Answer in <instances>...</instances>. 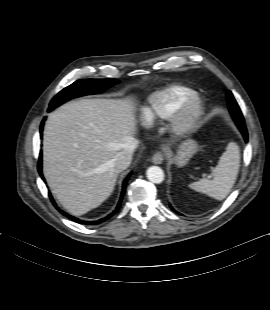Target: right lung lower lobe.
Wrapping results in <instances>:
<instances>
[{"instance_id": "1", "label": "right lung lower lobe", "mask_w": 270, "mask_h": 310, "mask_svg": "<svg viewBox=\"0 0 270 310\" xmlns=\"http://www.w3.org/2000/svg\"><path fill=\"white\" fill-rule=\"evenodd\" d=\"M44 120H45V118H44ZM44 120L42 121L41 127H40V133H41V135H42L43 125H44ZM41 164H42V161H41V157H40V158H39L38 170H39L40 175L42 176ZM42 178H43V177H42ZM128 179H129V176H128V177L124 180V182H123V188H122L121 198H120V201H119V203H118L116 209H115L111 214H109L108 216H106V217H104V218H102V219H99V220H97V221H92V222L85 221L86 224H88V225L100 224V223H102V222L108 220V219H109L110 217H112L115 213H117V211H118V209L120 208V205H121V200H122V197H123V195H124V192H125V188H126V184H127ZM50 199H51L52 203L56 206V204H55V202H54V200H53V198H52L51 195H50ZM56 208H57L63 215H65L66 217H68L69 219H71V220H73V221H75V222H77V223H83V222H84V221H82V220H80V219H78V218H75V217H73V216L68 215L67 213H65V212H63L62 210H60L58 207H56Z\"/></svg>"}]
</instances>
